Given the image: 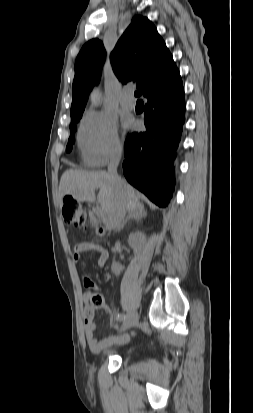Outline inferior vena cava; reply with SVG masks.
<instances>
[{"mask_svg": "<svg viewBox=\"0 0 253 413\" xmlns=\"http://www.w3.org/2000/svg\"><path fill=\"white\" fill-rule=\"evenodd\" d=\"M121 159V149L117 150L108 164V174L115 189L114 207L108 214L106 229L112 230L119 228L124 221L126 214V195L121 178L117 174V167Z\"/></svg>", "mask_w": 253, "mask_h": 413, "instance_id": "inferior-vena-cava-1", "label": "inferior vena cava"}]
</instances>
